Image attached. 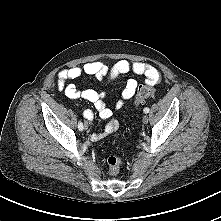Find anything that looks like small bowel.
<instances>
[{
    "label": "small bowel",
    "mask_w": 221,
    "mask_h": 221,
    "mask_svg": "<svg viewBox=\"0 0 221 221\" xmlns=\"http://www.w3.org/2000/svg\"><path fill=\"white\" fill-rule=\"evenodd\" d=\"M129 72L144 76L146 82L150 85L158 83L161 78L159 70L149 63L128 60H119L112 66L107 65L103 61L95 60L81 66H72L59 71L57 75V88L71 99H83L93 103L100 118L108 121L103 132L92 134L91 139L93 141H99L118 129L119 123L117 120L112 119L113 113L121 109L124 102L133 97L138 83L133 78L129 79L122 90L121 98L116 102L114 109H111L105 101V93L94 89L81 90L75 84L69 83V81L77 79L82 75H92L100 82H107ZM83 116L90 121L94 118V113L92 110L86 109L83 112Z\"/></svg>",
    "instance_id": "small-bowel-1"
}]
</instances>
